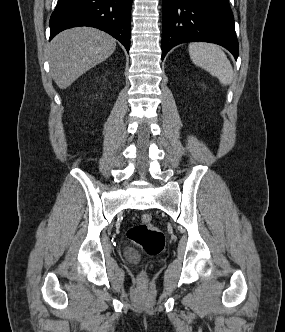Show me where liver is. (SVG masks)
Wrapping results in <instances>:
<instances>
[{"label":"liver","mask_w":285,"mask_h":332,"mask_svg":"<svg viewBox=\"0 0 285 332\" xmlns=\"http://www.w3.org/2000/svg\"><path fill=\"white\" fill-rule=\"evenodd\" d=\"M115 48L116 40L95 28L76 27L62 31L48 46L52 78L60 89H66L110 57Z\"/></svg>","instance_id":"obj_1"}]
</instances>
